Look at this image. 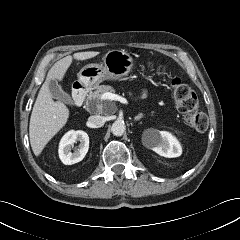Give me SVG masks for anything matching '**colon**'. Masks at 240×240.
<instances>
[{
	"label": "colon",
	"mask_w": 240,
	"mask_h": 240,
	"mask_svg": "<svg viewBox=\"0 0 240 240\" xmlns=\"http://www.w3.org/2000/svg\"><path fill=\"white\" fill-rule=\"evenodd\" d=\"M157 73L167 79L173 101L183 114L185 123L197 132L207 129V115L199 109V99L195 91L180 78L174 76L164 65L150 63Z\"/></svg>",
	"instance_id": "obj_1"
}]
</instances>
